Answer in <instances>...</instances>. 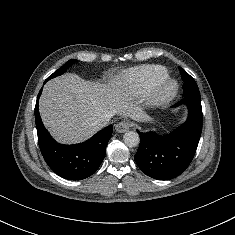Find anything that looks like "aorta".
I'll return each instance as SVG.
<instances>
[{"label":"aorta","instance_id":"obj_1","mask_svg":"<svg viewBox=\"0 0 235 235\" xmlns=\"http://www.w3.org/2000/svg\"><path fill=\"white\" fill-rule=\"evenodd\" d=\"M123 140L128 147H136L140 142L139 134L135 131L126 132Z\"/></svg>","mask_w":235,"mask_h":235}]
</instances>
